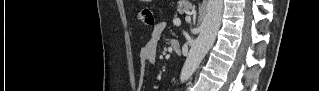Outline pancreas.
Returning <instances> with one entry per match:
<instances>
[{"label":"pancreas","instance_id":"cf45deb5","mask_svg":"<svg viewBox=\"0 0 319 91\" xmlns=\"http://www.w3.org/2000/svg\"><path fill=\"white\" fill-rule=\"evenodd\" d=\"M189 10V5H178L177 12L184 13Z\"/></svg>","mask_w":319,"mask_h":91}]
</instances>
